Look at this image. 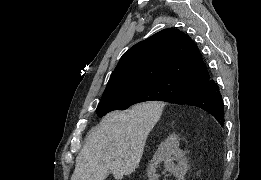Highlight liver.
I'll list each match as a JSON object with an SVG mask.
<instances>
[{
    "mask_svg": "<svg viewBox=\"0 0 261 180\" xmlns=\"http://www.w3.org/2000/svg\"><path fill=\"white\" fill-rule=\"evenodd\" d=\"M157 102L137 104L131 110H115L92 128L76 158L71 180H114L135 172L146 140L154 128Z\"/></svg>",
    "mask_w": 261,
    "mask_h": 180,
    "instance_id": "1",
    "label": "liver"
}]
</instances>
